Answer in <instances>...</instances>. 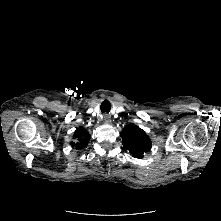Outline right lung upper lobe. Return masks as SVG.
<instances>
[{"label":"right lung upper lobe","mask_w":221,"mask_h":221,"mask_svg":"<svg viewBox=\"0 0 221 221\" xmlns=\"http://www.w3.org/2000/svg\"><path fill=\"white\" fill-rule=\"evenodd\" d=\"M90 137L89 133L83 127H79L73 136L76 143L72 142V145L75 146L76 149H83L88 144Z\"/></svg>","instance_id":"right-lung-upper-lobe-1"}]
</instances>
